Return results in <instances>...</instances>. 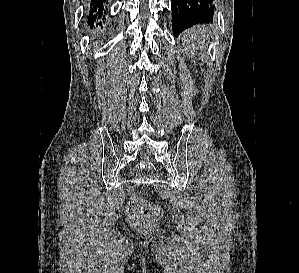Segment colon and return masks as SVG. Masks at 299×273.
I'll list each match as a JSON object with an SVG mask.
<instances>
[{"label":"colon","instance_id":"1","mask_svg":"<svg viewBox=\"0 0 299 273\" xmlns=\"http://www.w3.org/2000/svg\"><path fill=\"white\" fill-rule=\"evenodd\" d=\"M126 215L134 225L142 229H152L153 224L145 218L160 220L164 216V209L158 205L148 204L138 196H133L128 202Z\"/></svg>","mask_w":299,"mask_h":273}]
</instances>
